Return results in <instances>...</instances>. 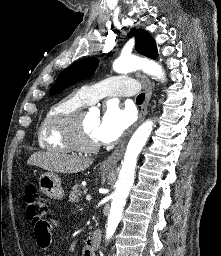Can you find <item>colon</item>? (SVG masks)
<instances>
[{
  "instance_id": "colon-1",
  "label": "colon",
  "mask_w": 221,
  "mask_h": 256,
  "mask_svg": "<svg viewBox=\"0 0 221 256\" xmlns=\"http://www.w3.org/2000/svg\"><path fill=\"white\" fill-rule=\"evenodd\" d=\"M26 214L30 223L38 230L47 225V203L36 186L30 184L25 189Z\"/></svg>"
}]
</instances>
